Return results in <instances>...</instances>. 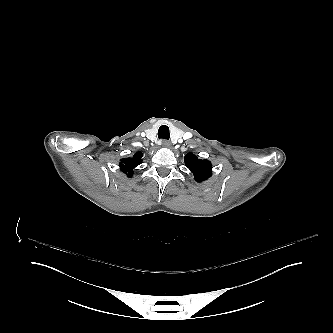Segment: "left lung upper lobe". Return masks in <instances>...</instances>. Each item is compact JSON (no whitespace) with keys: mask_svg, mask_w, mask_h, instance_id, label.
<instances>
[{"mask_svg":"<svg viewBox=\"0 0 333 333\" xmlns=\"http://www.w3.org/2000/svg\"><path fill=\"white\" fill-rule=\"evenodd\" d=\"M184 160L197 182L207 180L212 175V165L208 160H200L193 153H187Z\"/></svg>","mask_w":333,"mask_h":333,"instance_id":"1","label":"left lung upper lobe"}]
</instances>
